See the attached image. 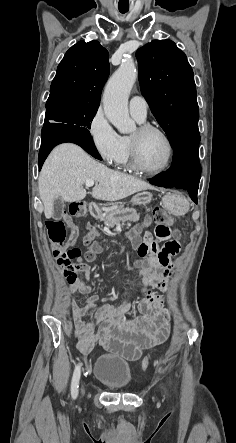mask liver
<instances>
[{
	"label": "liver",
	"mask_w": 236,
	"mask_h": 443,
	"mask_svg": "<svg viewBox=\"0 0 236 443\" xmlns=\"http://www.w3.org/2000/svg\"><path fill=\"white\" fill-rule=\"evenodd\" d=\"M88 180L98 183L92 196L109 202L152 188L142 180L93 160L75 144H61L48 156L38 180L45 217H52L54 200L59 197L67 202L83 200L87 194L83 185Z\"/></svg>",
	"instance_id": "1"
}]
</instances>
